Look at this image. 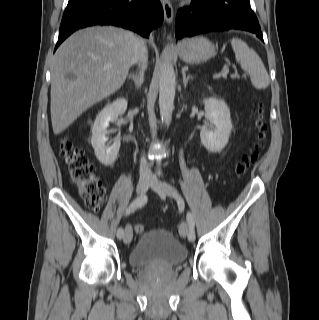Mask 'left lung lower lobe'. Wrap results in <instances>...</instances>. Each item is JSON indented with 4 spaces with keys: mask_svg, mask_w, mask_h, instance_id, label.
I'll return each mask as SVG.
<instances>
[{
    "mask_svg": "<svg viewBox=\"0 0 319 320\" xmlns=\"http://www.w3.org/2000/svg\"><path fill=\"white\" fill-rule=\"evenodd\" d=\"M239 29L255 33L263 41L249 0H192L176 17V38L210 31Z\"/></svg>",
    "mask_w": 319,
    "mask_h": 320,
    "instance_id": "left-lung-lower-lobe-1",
    "label": "left lung lower lobe"
}]
</instances>
